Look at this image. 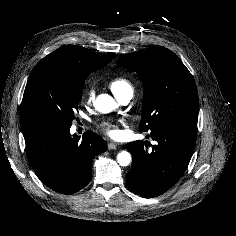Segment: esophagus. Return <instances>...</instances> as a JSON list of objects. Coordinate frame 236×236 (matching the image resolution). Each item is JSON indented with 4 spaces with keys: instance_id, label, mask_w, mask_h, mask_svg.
I'll use <instances>...</instances> for the list:
<instances>
[{
    "instance_id": "1",
    "label": "esophagus",
    "mask_w": 236,
    "mask_h": 236,
    "mask_svg": "<svg viewBox=\"0 0 236 236\" xmlns=\"http://www.w3.org/2000/svg\"><path fill=\"white\" fill-rule=\"evenodd\" d=\"M108 149L109 150H115V149H117V145L114 142H109L108 143Z\"/></svg>"
}]
</instances>
